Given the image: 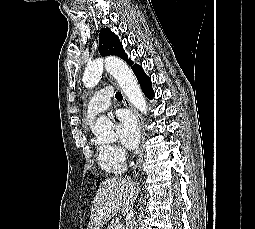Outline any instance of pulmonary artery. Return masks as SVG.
<instances>
[{
    "label": "pulmonary artery",
    "mask_w": 255,
    "mask_h": 229,
    "mask_svg": "<svg viewBox=\"0 0 255 229\" xmlns=\"http://www.w3.org/2000/svg\"><path fill=\"white\" fill-rule=\"evenodd\" d=\"M113 96V89L111 86H106L96 91L88 104L87 119L93 120L101 112L109 108L110 98Z\"/></svg>",
    "instance_id": "obj_1"
}]
</instances>
